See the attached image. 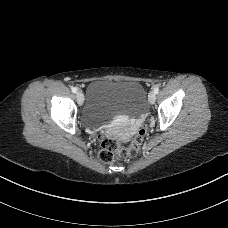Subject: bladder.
<instances>
[{"label": "bladder", "mask_w": 228, "mask_h": 228, "mask_svg": "<svg viewBox=\"0 0 228 228\" xmlns=\"http://www.w3.org/2000/svg\"><path fill=\"white\" fill-rule=\"evenodd\" d=\"M145 108L146 91L141 83L96 80L87 87L83 122L96 127L111 122L119 115L139 116Z\"/></svg>", "instance_id": "31cf9c89"}]
</instances>
